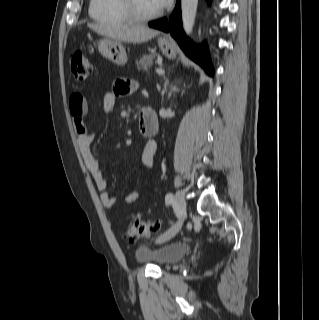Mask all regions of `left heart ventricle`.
Masks as SVG:
<instances>
[{
	"instance_id": "b2bd125f",
	"label": "left heart ventricle",
	"mask_w": 319,
	"mask_h": 320,
	"mask_svg": "<svg viewBox=\"0 0 319 320\" xmlns=\"http://www.w3.org/2000/svg\"><path fill=\"white\" fill-rule=\"evenodd\" d=\"M136 7L143 14H150L159 10L153 0H135Z\"/></svg>"
}]
</instances>
